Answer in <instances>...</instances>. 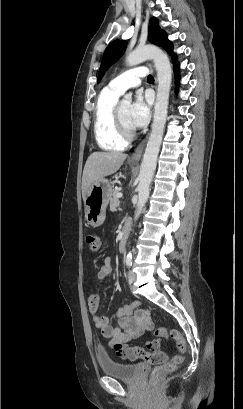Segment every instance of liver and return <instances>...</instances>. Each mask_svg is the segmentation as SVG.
I'll return each instance as SVG.
<instances>
[{
  "instance_id": "liver-1",
  "label": "liver",
  "mask_w": 243,
  "mask_h": 409,
  "mask_svg": "<svg viewBox=\"0 0 243 409\" xmlns=\"http://www.w3.org/2000/svg\"><path fill=\"white\" fill-rule=\"evenodd\" d=\"M127 154L119 152H94L84 166L82 176V196L85 198L87 192L93 184L99 182L104 177L119 170Z\"/></svg>"
}]
</instances>
